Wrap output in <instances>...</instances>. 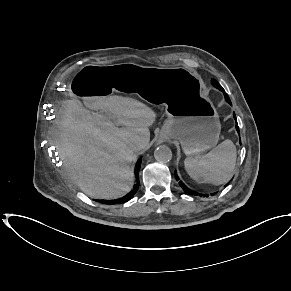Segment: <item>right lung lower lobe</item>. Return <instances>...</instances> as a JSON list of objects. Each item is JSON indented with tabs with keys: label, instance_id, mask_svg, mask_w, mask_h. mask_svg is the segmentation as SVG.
Here are the masks:
<instances>
[{
	"label": "right lung lower lobe",
	"instance_id": "1",
	"mask_svg": "<svg viewBox=\"0 0 291 291\" xmlns=\"http://www.w3.org/2000/svg\"><path fill=\"white\" fill-rule=\"evenodd\" d=\"M140 166H141V159H139L137 161L136 167H135L136 184L133 186L132 190L128 194H126L125 196H123L121 198L114 199V200H95V201L101 202L103 204L113 205V204H122V203H125V202L129 201L130 199H132L139 188L138 173H139Z\"/></svg>",
	"mask_w": 291,
	"mask_h": 291
}]
</instances>
